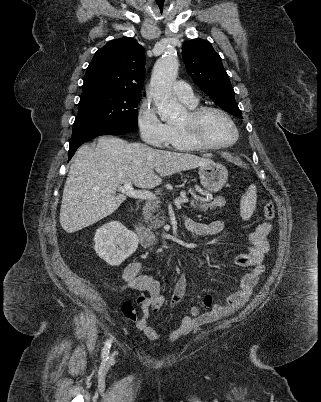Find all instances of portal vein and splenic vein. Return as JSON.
<instances>
[{"label": "portal vein and splenic vein", "instance_id": "18ae733b", "mask_svg": "<svg viewBox=\"0 0 321 402\" xmlns=\"http://www.w3.org/2000/svg\"><path fill=\"white\" fill-rule=\"evenodd\" d=\"M119 191L132 198L155 200L156 196L148 190H134L130 182H126L124 186L118 188ZM188 202L185 197L176 198L174 203L180 205Z\"/></svg>", "mask_w": 321, "mask_h": 402}]
</instances>
